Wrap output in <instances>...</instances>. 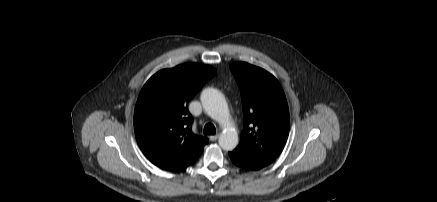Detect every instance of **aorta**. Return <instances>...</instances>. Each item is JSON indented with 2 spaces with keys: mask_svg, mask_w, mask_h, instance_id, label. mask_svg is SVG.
Wrapping results in <instances>:
<instances>
[{
  "mask_svg": "<svg viewBox=\"0 0 437 202\" xmlns=\"http://www.w3.org/2000/svg\"><path fill=\"white\" fill-rule=\"evenodd\" d=\"M200 99L205 112L223 126L218 140L220 147L232 151L238 145V134L230 124L229 109L224 95L217 89L206 88L202 91Z\"/></svg>",
  "mask_w": 437,
  "mask_h": 202,
  "instance_id": "1",
  "label": "aorta"
}]
</instances>
